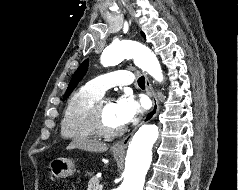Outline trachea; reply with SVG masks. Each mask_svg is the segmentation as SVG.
Listing matches in <instances>:
<instances>
[{
    "instance_id": "trachea-1",
    "label": "trachea",
    "mask_w": 238,
    "mask_h": 190,
    "mask_svg": "<svg viewBox=\"0 0 238 190\" xmlns=\"http://www.w3.org/2000/svg\"><path fill=\"white\" fill-rule=\"evenodd\" d=\"M138 85H139L140 87H142V88L145 87V78H144V76L139 77V79H138Z\"/></svg>"
}]
</instances>
